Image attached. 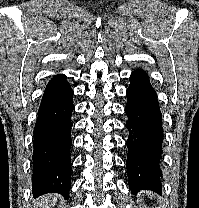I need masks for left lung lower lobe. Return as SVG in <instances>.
I'll list each match as a JSON object with an SVG mask.
<instances>
[{
    "label": "left lung lower lobe",
    "mask_w": 199,
    "mask_h": 208,
    "mask_svg": "<svg viewBox=\"0 0 199 208\" xmlns=\"http://www.w3.org/2000/svg\"><path fill=\"white\" fill-rule=\"evenodd\" d=\"M130 81L125 107L128 117L126 128L129 131L128 184L133 193L141 189L160 192L163 128L157 95L142 69L134 71Z\"/></svg>",
    "instance_id": "0a47b994"
}]
</instances>
